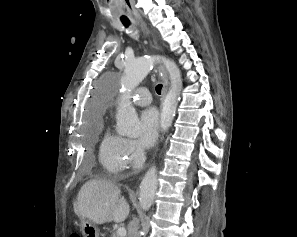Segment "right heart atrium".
I'll list each match as a JSON object with an SVG mask.
<instances>
[{"label":"right heart atrium","instance_id":"obj_1","mask_svg":"<svg viewBox=\"0 0 297 237\" xmlns=\"http://www.w3.org/2000/svg\"><path fill=\"white\" fill-rule=\"evenodd\" d=\"M143 150L134 140H126L125 161L127 166L137 167L142 159Z\"/></svg>","mask_w":297,"mask_h":237}]
</instances>
